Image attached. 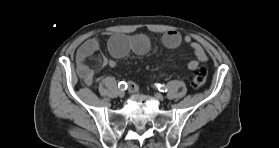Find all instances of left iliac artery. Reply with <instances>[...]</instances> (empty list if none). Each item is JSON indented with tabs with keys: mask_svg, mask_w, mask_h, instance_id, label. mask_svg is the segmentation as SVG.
<instances>
[{
	"mask_svg": "<svg viewBox=\"0 0 279 148\" xmlns=\"http://www.w3.org/2000/svg\"><path fill=\"white\" fill-rule=\"evenodd\" d=\"M156 88L161 92H167V86L164 84H155Z\"/></svg>",
	"mask_w": 279,
	"mask_h": 148,
	"instance_id": "44dca946",
	"label": "left iliac artery"
}]
</instances>
